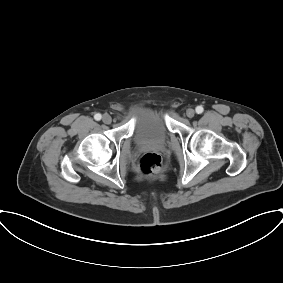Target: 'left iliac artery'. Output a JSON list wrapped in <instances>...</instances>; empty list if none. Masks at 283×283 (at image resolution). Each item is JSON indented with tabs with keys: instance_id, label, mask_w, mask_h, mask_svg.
<instances>
[{
	"instance_id": "1",
	"label": "left iliac artery",
	"mask_w": 283,
	"mask_h": 283,
	"mask_svg": "<svg viewBox=\"0 0 283 283\" xmlns=\"http://www.w3.org/2000/svg\"><path fill=\"white\" fill-rule=\"evenodd\" d=\"M195 110L197 114H201L204 111L202 106H197Z\"/></svg>"
}]
</instances>
